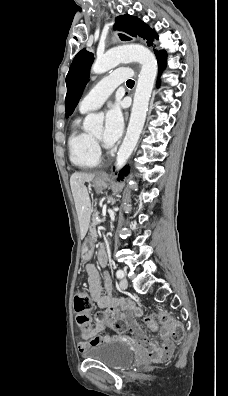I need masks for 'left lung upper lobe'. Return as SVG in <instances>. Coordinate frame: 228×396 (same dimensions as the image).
I'll return each instance as SVG.
<instances>
[{
	"mask_svg": "<svg viewBox=\"0 0 228 396\" xmlns=\"http://www.w3.org/2000/svg\"><path fill=\"white\" fill-rule=\"evenodd\" d=\"M114 30L123 31L126 34H119L122 40H131L134 37L147 39V43L156 38L157 34L148 25L141 22L137 17L121 15L116 18ZM93 53L82 49L73 59L69 72L66 76V116L71 115L78 104L82 92L89 80V70L93 63Z\"/></svg>",
	"mask_w": 228,
	"mask_h": 396,
	"instance_id": "5c2ea615",
	"label": "left lung upper lobe"
}]
</instances>
